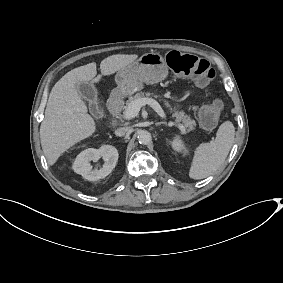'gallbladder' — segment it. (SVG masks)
Returning a JSON list of instances; mask_svg holds the SVG:
<instances>
[{"label": "gallbladder", "mask_w": 283, "mask_h": 283, "mask_svg": "<svg viewBox=\"0 0 283 283\" xmlns=\"http://www.w3.org/2000/svg\"><path fill=\"white\" fill-rule=\"evenodd\" d=\"M78 91L81 96L89 98V101L92 103V107L95 110H98L101 107V104L98 102L97 91L92 85L88 83H80L78 84Z\"/></svg>", "instance_id": "obj_1"}]
</instances>
